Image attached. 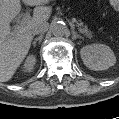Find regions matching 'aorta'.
<instances>
[{"label":"aorta","instance_id":"aorta-1","mask_svg":"<svg viewBox=\"0 0 119 119\" xmlns=\"http://www.w3.org/2000/svg\"><path fill=\"white\" fill-rule=\"evenodd\" d=\"M50 28H51L52 34L56 37H62L68 33V27L62 21L52 22Z\"/></svg>","mask_w":119,"mask_h":119}]
</instances>
